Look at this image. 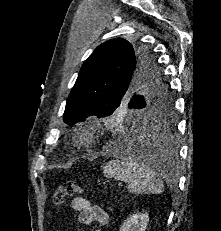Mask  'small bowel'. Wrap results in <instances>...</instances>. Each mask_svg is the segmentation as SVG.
<instances>
[{
	"label": "small bowel",
	"mask_w": 221,
	"mask_h": 231,
	"mask_svg": "<svg viewBox=\"0 0 221 231\" xmlns=\"http://www.w3.org/2000/svg\"><path fill=\"white\" fill-rule=\"evenodd\" d=\"M72 208L79 212L78 220L84 225L98 223L100 226H105L109 222L108 213L99 206L93 205L88 199L77 197L72 201ZM95 231H102L101 228Z\"/></svg>",
	"instance_id": "1"
}]
</instances>
